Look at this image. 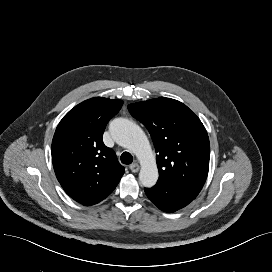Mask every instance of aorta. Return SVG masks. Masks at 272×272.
Wrapping results in <instances>:
<instances>
[{
    "label": "aorta",
    "mask_w": 272,
    "mask_h": 272,
    "mask_svg": "<svg viewBox=\"0 0 272 272\" xmlns=\"http://www.w3.org/2000/svg\"><path fill=\"white\" fill-rule=\"evenodd\" d=\"M115 141L131 150L139 159L141 169L139 181L144 187H152L158 180V168L151 145L143 130L134 122L117 118L110 124Z\"/></svg>",
    "instance_id": "1"
}]
</instances>
